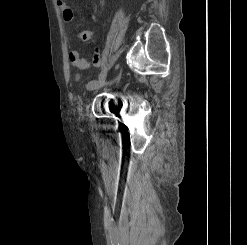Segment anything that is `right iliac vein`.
<instances>
[{
  "instance_id": "1",
  "label": "right iliac vein",
  "mask_w": 247,
  "mask_h": 245,
  "mask_svg": "<svg viewBox=\"0 0 247 245\" xmlns=\"http://www.w3.org/2000/svg\"><path fill=\"white\" fill-rule=\"evenodd\" d=\"M108 83L105 82H101L100 85H98V87H91L90 89L93 90L94 92H97L99 89H101L103 86L107 85Z\"/></svg>"
}]
</instances>
